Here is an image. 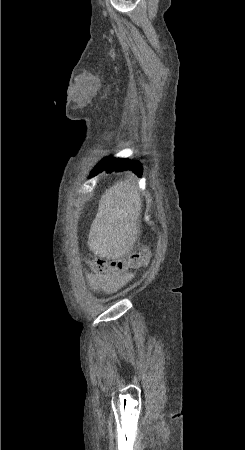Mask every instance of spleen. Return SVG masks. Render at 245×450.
<instances>
[{
	"instance_id": "obj_1",
	"label": "spleen",
	"mask_w": 245,
	"mask_h": 450,
	"mask_svg": "<svg viewBox=\"0 0 245 450\" xmlns=\"http://www.w3.org/2000/svg\"><path fill=\"white\" fill-rule=\"evenodd\" d=\"M141 207L136 183L131 179L119 181L107 189L90 228V250L108 259L128 254L139 235Z\"/></svg>"
}]
</instances>
